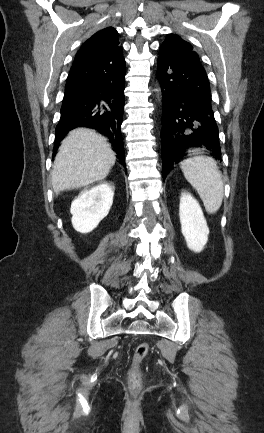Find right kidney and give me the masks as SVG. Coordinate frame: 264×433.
<instances>
[{
    "label": "right kidney",
    "instance_id": "ca27d5eb",
    "mask_svg": "<svg viewBox=\"0 0 264 433\" xmlns=\"http://www.w3.org/2000/svg\"><path fill=\"white\" fill-rule=\"evenodd\" d=\"M113 196L114 189L107 182L81 191L71 204L73 228L83 234L94 230L108 215Z\"/></svg>",
    "mask_w": 264,
    "mask_h": 433
}]
</instances>
